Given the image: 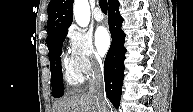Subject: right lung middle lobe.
<instances>
[{
  "mask_svg": "<svg viewBox=\"0 0 193 112\" xmlns=\"http://www.w3.org/2000/svg\"><path fill=\"white\" fill-rule=\"evenodd\" d=\"M67 33L68 31H65L58 35L48 46L52 82V95L55 98L61 97L64 94L60 55L62 53L63 41L65 40Z\"/></svg>",
  "mask_w": 193,
  "mask_h": 112,
  "instance_id": "right-lung-middle-lobe-1",
  "label": "right lung middle lobe"
}]
</instances>
